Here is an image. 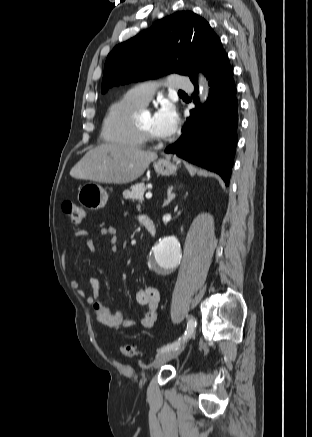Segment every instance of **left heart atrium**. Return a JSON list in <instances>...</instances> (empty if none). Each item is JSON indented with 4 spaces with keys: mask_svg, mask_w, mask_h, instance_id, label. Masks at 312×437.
<instances>
[{
    "mask_svg": "<svg viewBox=\"0 0 312 437\" xmlns=\"http://www.w3.org/2000/svg\"><path fill=\"white\" fill-rule=\"evenodd\" d=\"M153 118L155 129L163 137H169L176 131L179 117L172 104H163L153 115Z\"/></svg>",
    "mask_w": 312,
    "mask_h": 437,
    "instance_id": "obj_1",
    "label": "left heart atrium"
}]
</instances>
